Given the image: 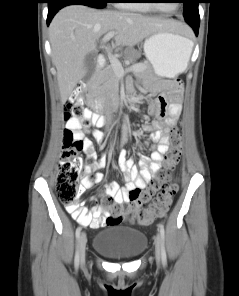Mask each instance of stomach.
<instances>
[{"mask_svg": "<svg viewBox=\"0 0 239 296\" xmlns=\"http://www.w3.org/2000/svg\"><path fill=\"white\" fill-rule=\"evenodd\" d=\"M192 41L172 31H160L144 42V53L154 74L171 79L187 67L188 50Z\"/></svg>", "mask_w": 239, "mask_h": 296, "instance_id": "obj_1", "label": "stomach"}]
</instances>
